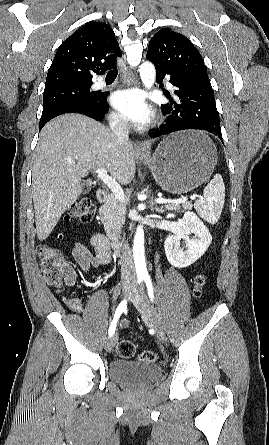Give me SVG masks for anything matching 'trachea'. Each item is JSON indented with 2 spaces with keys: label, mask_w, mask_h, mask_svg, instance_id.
<instances>
[{
  "label": "trachea",
  "mask_w": 269,
  "mask_h": 445,
  "mask_svg": "<svg viewBox=\"0 0 269 445\" xmlns=\"http://www.w3.org/2000/svg\"><path fill=\"white\" fill-rule=\"evenodd\" d=\"M117 74H118L117 71L110 70V71H108V73H107V77H116Z\"/></svg>",
  "instance_id": "obj_1"
}]
</instances>
